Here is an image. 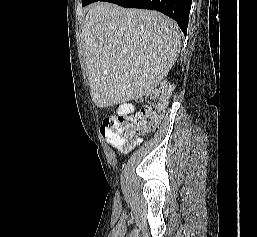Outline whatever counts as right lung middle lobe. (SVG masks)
<instances>
[{
    "label": "right lung middle lobe",
    "instance_id": "right-lung-middle-lobe-1",
    "mask_svg": "<svg viewBox=\"0 0 257 237\" xmlns=\"http://www.w3.org/2000/svg\"><path fill=\"white\" fill-rule=\"evenodd\" d=\"M96 1H99V0H83L82 6H86L87 4H90V3H93ZM100 1H102V0H100Z\"/></svg>",
    "mask_w": 257,
    "mask_h": 237
}]
</instances>
